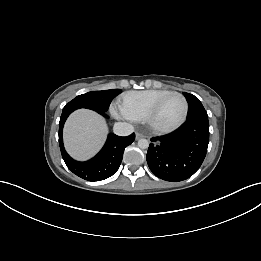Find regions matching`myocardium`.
I'll list each match as a JSON object with an SVG mask.
<instances>
[{
    "label": "myocardium",
    "mask_w": 261,
    "mask_h": 261,
    "mask_svg": "<svg viewBox=\"0 0 261 261\" xmlns=\"http://www.w3.org/2000/svg\"><path fill=\"white\" fill-rule=\"evenodd\" d=\"M170 96H178L182 99L183 105H184L182 116L177 123H175L174 125H172L170 127H165V128L157 127L153 123L154 116H155L156 112L158 111L159 107L161 106V104ZM188 110H189V105H188V101H187L186 97L180 92L170 91L169 93L160 97L150 107V109L147 111L143 121L148 126V128L150 130H152L153 132L158 133V134H167V133H171V132L177 130L179 127H181L183 125V123L186 121V118L188 115Z\"/></svg>",
    "instance_id": "1"
}]
</instances>
